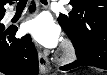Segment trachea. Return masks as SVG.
Masks as SVG:
<instances>
[{"instance_id":"trachea-1","label":"trachea","mask_w":107,"mask_h":75,"mask_svg":"<svg viewBox=\"0 0 107 75\" xmlns=\"http://www.w3.org/2000/svg\"><path fill=\"white\" fill-rule=\"evenodd\" d=\"M26 2H27V0H19L18 5L26 4ZM41 2H42L43 4H46V3H47L46 0H41Z\"/></svg>"}]
</instances>
